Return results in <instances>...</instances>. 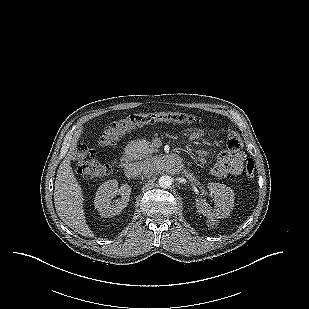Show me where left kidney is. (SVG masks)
Listing matches in <instances>:
<instances>
[{
  "label": "left kidney",
  "instance_id": "5707ae66",
  "mask_svg": "<svg viewBox=\"0 0 309 309\" xmlns=\"http://www.w3.org/2000/svg\"><path fill=\"white\" fill-rule=\"evenodd\" d=\"M214 195L215 207L212 208L203 199H197L196 208L199 213L210 220L226 218L234 207V192L230 187L220 183H209L207 186Z\"/></svg>",
  "mask_w": 309,
  "mask_h": 309
}]
</instances>
